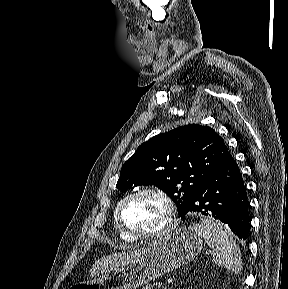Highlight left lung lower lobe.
<instances>
[{
	"label": "left lung lower lobe",
	"instance_id": "left-lung-lower-lobe-1",
	"mask_svg": "<svg viewBox=\"0 0 288 289\" xmlns=\"http://www.w3.org/2000/svg\"><path fill=\"white\" fill-rule=\"evenodd\" d=\"M249 206L246 188L237 163L229 153L223 164L194 197L188 212H200L227 224L241 239L249 234Z\"/></svg>",
	"mask_w": 288,
	"mask_h": 289
}]
</instances>
